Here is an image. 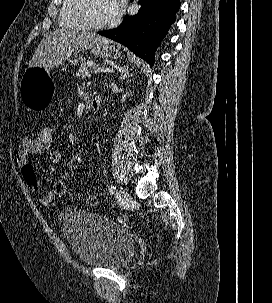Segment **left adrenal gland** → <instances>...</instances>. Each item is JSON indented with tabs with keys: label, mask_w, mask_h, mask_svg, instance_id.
<instances>
[{
	"label": "left adrenal gland",
	"mask_w": 272,
	"mask_h": 303,
	"mask_svg": "<svg viewBox=\"0 0 272 303\" xmlns=\"http://www.w3.org/2000/svg\"><path fill=\"white\" fill-rule=\"evenodd\" d=\"M129 75V70L128 68H123L121 73H120V77L119 79H124L125 77H127Z\"/></svg>",
	"instance_id": "left-adrenal-gland-1"
}]
</instances>
